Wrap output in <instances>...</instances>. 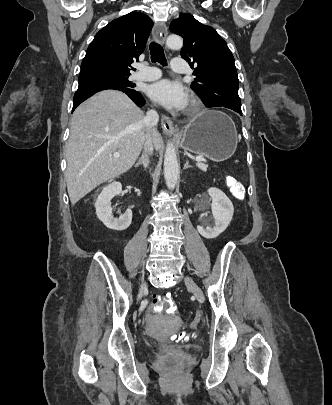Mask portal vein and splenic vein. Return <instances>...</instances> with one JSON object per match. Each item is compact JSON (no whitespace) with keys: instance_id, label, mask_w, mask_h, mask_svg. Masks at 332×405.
<instances>
[{"instance_id":"portal-vein-and-splenic-vein-1","label":"portal vein and splenic vein","mask_w":332,"mask_h":405,"mask_svg":"<svg viewBox=\"0 0 332 405\" xmlns=\"http://www.w3.org/2000/svg\"><path fill=\"white\" fill-rule=\"evenodd\" d=\"M119 155H120L119 152H116V153L114 154L115 157H118ZM195 161H196L197 163H199V166H201L200 163H201L202 161H204V159H203L202 157H195Z\"/></svg>"}]
</instances>
